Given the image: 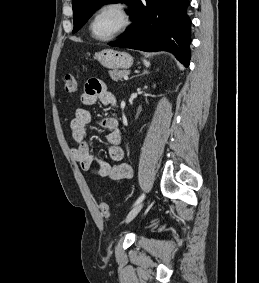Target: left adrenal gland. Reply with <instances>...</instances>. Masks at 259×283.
I'll list each match as a JSON object with an SVG mask.
<instances>
[{"label": "left adrenal gland", "mask_w": 259, "mask_h": 283, "mask_svg": "<svg viewBox=\"0 0 259 283\" xmlns=\"http://www.w3.org/2000/svg\"><path fill=\"white\" fill-rule=\"evenodd\" d=\"M148 73H149V71L144 70V71H143V73H142L141 75L148 74Z\"/></svg>", "instance_id": "a2214340"}]
</instances>
